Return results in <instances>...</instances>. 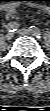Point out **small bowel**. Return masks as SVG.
Returning a JSON list of instances; mask_svg holds the SVG:
<instances>
[{"mask_svg":"<svg viewBox=\"0 0 50 111\" xmlns=\"http://www.w3.org/2000/svg\"><path fill=\"white\" fill-rule=\"evenodd\" d=\"M15 14V9L14 8H8L6 10V18L9 19V18H12V16Z\"/></svg>","mask_w":50,"mask_h":111,"instance_id":"small-bowel-1","label":"small bowel"}]
</instances>
